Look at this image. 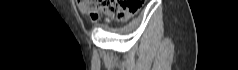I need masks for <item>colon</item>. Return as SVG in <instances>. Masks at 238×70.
Returning <instances> with one entry per match:
<instances>
[{"mask_svg":"<svg viewBox=\"0 0 238 70\" xmlns=\"http://www.w3.org/2000/svg\"><path fill=\"white\" fill-rule=\"evenodd\" d=\"M77 3L81 12L92 22H97L103 15L125 20L141 6L140 0H77Z\"/></svg>","mask_w":238,"mask_h":70,"instance_id":"5ec220e1","label":"colon"}]
</instances>
